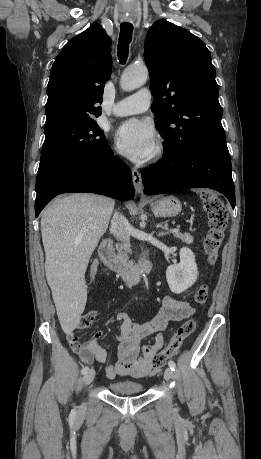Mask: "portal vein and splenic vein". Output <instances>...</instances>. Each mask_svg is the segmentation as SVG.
Segmentation results:
<instances>
[{
  "instance_id": "1",
  "label": "portal vein and splenic vein",
  "mask_w": 261,
  "mask_h": 459,
  "mask_svg": "<svg viewBox=\"0 0 261 459\" xmlns=\"http://www.w3.org/2000/svg\"><path fill=\"white\" fill-rule=\"evenodd\" d=\"M173 232H179V228L172 229Z\"/></svg>"
}]
</instances>
